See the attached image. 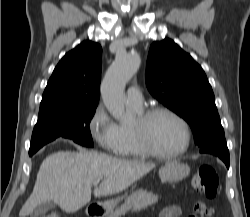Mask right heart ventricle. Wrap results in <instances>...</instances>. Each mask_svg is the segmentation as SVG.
<instances>
[{
  "instance_id": "1",
  "label": "right heart ventricle",
  "mask_w": 250,
  "mask_h": 217,
  "mask_svg": "<svg viewBox=\"0 0 250 217\" xmlns=\"http://www.w3.org/2000/svg\"><path fill=\"white\" fill-rule=\"evenodd\" d=\"M138 114L142 112V108H133ZM120 143L117 149V154L123 157H145L147 154L139 146L133 127L125 124L118 125Z\"/></svg>"
}]
</instances>
